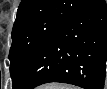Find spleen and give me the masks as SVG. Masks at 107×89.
<instances>
[{
    "label": "spleen",
    "mask_w": 107,
    "mask_h": 89,
    "mask_svg": "<svg viewBox=\"0 0 107 89\" xmlns=\"http://www.w3.org/2000/svg\"><path fill=\"white\" fill-rule=\"evenodd\" d=\"M55 89H72V87L67 85H57L54 87Z\"/></svg>",
    "instance_id": "1"
}]
</instances>
